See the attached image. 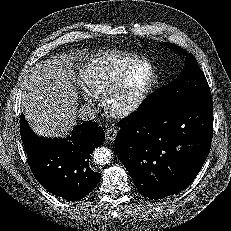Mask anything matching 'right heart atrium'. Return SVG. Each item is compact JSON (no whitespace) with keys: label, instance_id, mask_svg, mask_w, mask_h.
I'll return each instance as SVG.
<instances>
[{"label":"right heart atrium","instance_id":"obj_1","mask_svg":"<svg viewBox=\"0 0 231 231\" xmlns=\"http://www.w3.org/2000/svg\"><path fill=\"white\" fill-rule=\"evenodd\" d=\"M82 99L86 105H92L94 97L83 91Z\"/></svg>","mask_w":231,"mask_h":231}]
</instances>
